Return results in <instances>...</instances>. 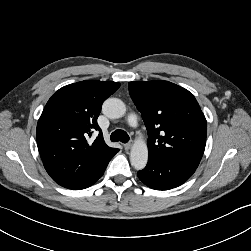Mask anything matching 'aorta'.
Returning <instances> with one entry per match:
<instances>
[{
	"instance_id": "762f6f07",
	"label": "aorta",
	"mask_w": 251,
	"mask_h": 251,
	"mask_svg": "<svg viewBox=\"0 0 251 251\" xmlns=\"http://www.w3.org/2000/svg\"><path fill=\"white\" fill-rule=\"evenodd\" d=\"M104 115L111 119H118L125 115L126 106L123 101L118 98H108L102 106ZM148 161V147L144 141H136L130 152L131 165L142 170Z\"/></svg>"
}]
</instances>
